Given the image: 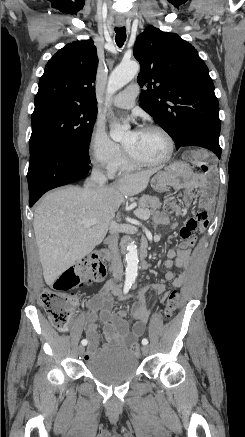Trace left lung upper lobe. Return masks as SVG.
Instances as JSON below:
<instances>
[{
  "mask_svg": "<svg viewBox=\"0 0 245 437\" xmlns=\"http://www.w3.org/2000/svg\"><path fill=\"white\" fill-rule=\"evenodd\" d=\"M140 62V106L172 137L179 148L193 130L220 134L214 84L196 49L177 34L148 26L134 45Z\"/></svg>",
  "mask_w": 245,
  "mask_h": 437,
  "instance_id": "5c2ea615",
  "label": "left lung upper lobe"
}]
</instances>
